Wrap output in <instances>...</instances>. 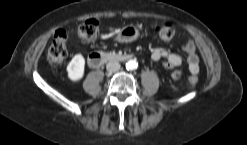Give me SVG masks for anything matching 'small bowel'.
<instances>
[{"mask_svg":"<svg viewBox=\"0 0 247 145\" xmlns=\"http://www.w3.org/2000/svg\"><path fill=\"white\" fill-rule=\"evenodd\" d=\"M182 50L186 54L188 69L191 74L196 75L199 72V57L196 53V45L193 41H188L183 45ZM153 61H165V66L169 69L180 66L182 63L181 57L175 53L166 50L157 49L151 54Z\"/></svg>","mask_w":247,"mask_h":145,"instance_id":"small-bowel-1","label":"small bowel"}]
</instances>
